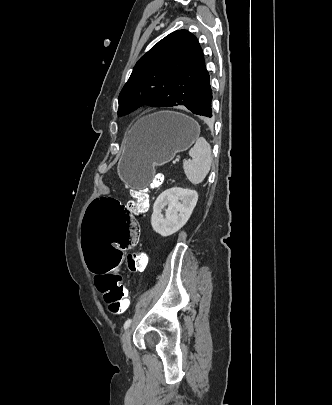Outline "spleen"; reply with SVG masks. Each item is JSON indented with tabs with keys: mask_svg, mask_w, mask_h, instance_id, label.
<instances>
[{
	"mask_svg": "<svg viewBox=\"0 0 332 405\" xmlns=\"http://www.w3.org/2000/svg\"><path fill=\"white\" fill-rule=\"evenodd\" d=\"M191 160L183 162L184 172L192 184H200L210 171L213 156L210 144L199 137L189 150Z\"/></svg>",
	"mask_w": 332,
	"mask_h": 405,
	"instance_id": "3e777b00",
	"label": "spleen"
}]
</instances>
